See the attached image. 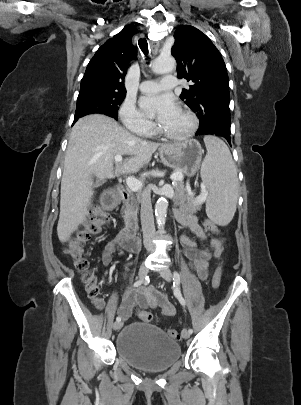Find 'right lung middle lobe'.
<instances>
[{"instance_id":"right-lung-middle-lobe-1","label":"right lung middle lobe","mask_w":301,"mask_h":405,"mask_svg":"<svg viewBox=\"0 0 301 405\" xmlns=\"http://www.w3.org/2000/svg\"><path fill=\"white\" fill-rule=\"evenodd\" d=\"M126 94L88 92L79 94L74 122L88 114L99 113L117 119L118 106L121 105Z\"/></svg>"}]
</instances>
